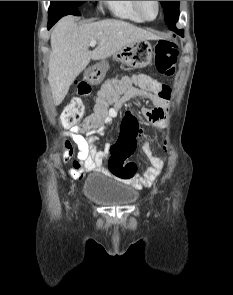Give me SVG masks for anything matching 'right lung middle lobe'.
Here are the masks:
<instances>
[{"label": "right lung middle lobe", "mask_w": 233, "mask_h": 295, "mask_svg": "<svg viewBox=\"0 0 233 295\" xmlns=\"http://www.w3.org/2000/svg\"><path fill=\"white\" fill-rule=\"evenodd\" d=\"M86 1H51L49 14H61L71 8H79Z\"/></svg>", "instance_id": "1"}]
</instances>
